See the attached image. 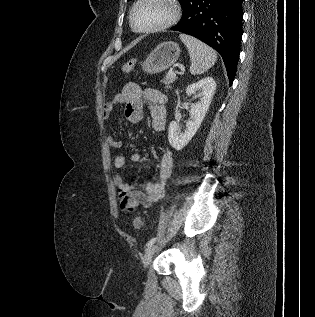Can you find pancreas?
Masks as SVG:
<instances>
[{
  "instance_id": "obj_1",
  "label": "pancreas",
  "mask_w": 315,
  "mask_h": 317,
  "mask_svg": "<svg viewBox=\"0 0 315 317\" xmlns=\"http://www.w3.org/2000/svg\"><path fill=\"white\" fill-rule=\"evenodd\" d=\"M175 77H170L169 74H166V76L163 78L162 82L165 84V90L168 91L170 88V84L173 83L175 80Z\"/></svg>"
}]
</instances>
